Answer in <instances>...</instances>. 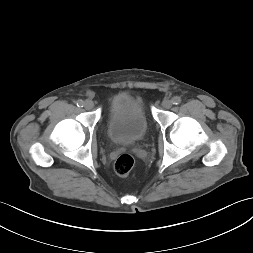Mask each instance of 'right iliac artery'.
Wrapping results in <instances>:
<instances>
[{
  "label": "right iliac artery",
  "instance_id": "right-iliac-artery-1",
  "mask_svg": "<svg viewBox=\"0 0 253 253\" xmlns=\"http://www.w3.org/2000/svg\"><path fill=\"white\" fill-rule=\"evenodd\" d=\"M76 105H77L78 107H83V106H84L83 100H78V101L76 102Z\"/></svg>",
  "mask_w": 253,
  "mask_h": 253
}]
</instances>
